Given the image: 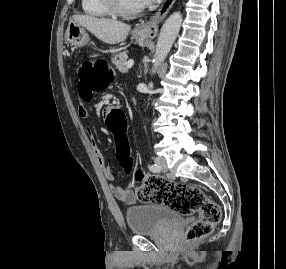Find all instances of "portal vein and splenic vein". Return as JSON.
<instances>
[{
	"mask_svg": "<svg viewBox=\"0 0 286 269\" xmlns=\"http://www.w3.org/2000/svg\"><path fill=\"white\" fill-rule=\"evenodd\" d=\"M133 65H134V61L133 60H129L127 62V69H130Z\"/></svg>",
	"mask_w": 286,
	"mask_h": 269,
	"instance_id": "18ae733b",
	"label": "portal vein and splenic vein"
}]
</instances>
